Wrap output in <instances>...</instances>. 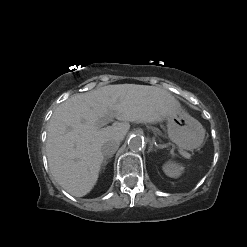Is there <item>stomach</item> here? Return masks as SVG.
<instances>
[{
  "label": "stomach",
  "instance_id": "0dacf381",
  "mask_svg": "<svg viewBox=\"0 0 247 247\" xmlns=\"http://www.w3.org/2000/svg\"><path fill=\"white\" fill-rule=\"evenodd\" d=\"M169 138L180 150H194L204 141L205 129L191 117L177 102L174 110L167 117Z\"/></svg>",
  "mask_w": 247,
  "mask_h": 247
}]
</instances>
